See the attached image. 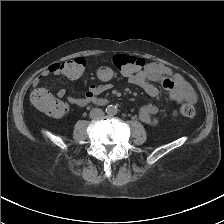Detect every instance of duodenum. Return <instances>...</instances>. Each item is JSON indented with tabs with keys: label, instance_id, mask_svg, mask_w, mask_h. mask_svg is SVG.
Segmentation results:
<instances>
[{
	"label": "duodenum",
	"instance_id": "410a0bca",
	"mask_svg": "<svg viewBox=\"0 0 224 224\" xmlns=\"http://www.w3.org/2000/svg\"><path fill=\"white\" fill-rule=\"evenodd\" d=\"M98 103H101V104H106V103H107V101H106L105 99H99V100H98Z\"/></svg>",
	"mask_w": 224,
	"mask_h": 224
}]
</instances>
